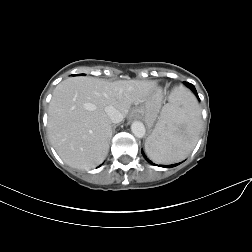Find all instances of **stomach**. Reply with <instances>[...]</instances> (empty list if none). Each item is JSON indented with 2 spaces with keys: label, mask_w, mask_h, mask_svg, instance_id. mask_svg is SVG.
I'll return each instance as SVG.
<instances>
[{
  "label": "stomach",
  "mask_w": 252,
  "mask_h": 252,
  "mask_svg": "<svg viewBox=\"0 0 252 252\" xmlns=\"http://www.w3.org/2000/svg\"><path fill=\"white\" fill-rule=\"evenodd\" d=\"M135 111L144 117L149 126H152L160 111L159 102L151 96L145 102L136 106Z\"/></svg>",
  "instance_id": "stomach-1"
}]
</instances>
